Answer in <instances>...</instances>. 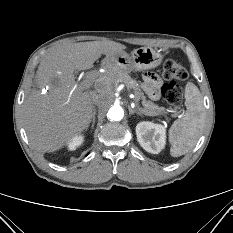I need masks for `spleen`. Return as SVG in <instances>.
<instances>
[{
  "label": "spleen",
  "mask_w": 233,
  "mask_h": 233,
  "mask_svg": "<svg viewBox=\"0 0 233 233\" xmlns=\"http://www.w3.org/2000/svg\"><path fill=\"white\" fill-rule=\"evenodd\" d=\"M185 99V115L175 120L169 130L170 154L173 157L184 155L196 145L205 124L203 97L191 82L186 85Z\"/></svg>",
  "instance_id": "3e777b00"
}]
</instances>
